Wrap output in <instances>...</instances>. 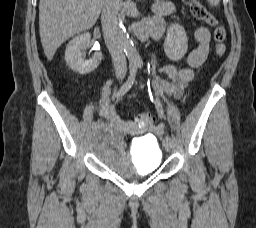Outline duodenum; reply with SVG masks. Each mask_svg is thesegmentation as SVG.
Listing matches in <instances>:
<instances>
[{
	"label": "duodenum",
	"mask_w": 256,
	"mask_h": 228,
	"mask_svg": "<svg viewBox=\"0 0 256 228\" xmlns=\"http://www.w3.org/2000/svg\"><path fill=\"white\" fill-rule=\"evenodd\" d=\"M135 36L141 40L145 41L149 38H159L160 32L157 27L150 21L142 22L137 24L134 29Z\"/></svg>",
	"instance_id": "duodenum-1"
}]
</instances>
